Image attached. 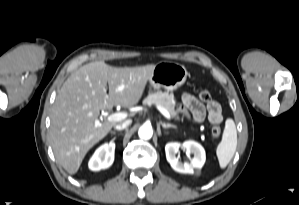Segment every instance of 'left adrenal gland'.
I'll return each instance as SVG.
<instances>
[{
    "label": "left adrenal gland",
    "mask_w": 299,
    "mask_h": 205,
    "mask_svg": "<svg viewBox=\"0 0 299 205\" xmlns=\"http://www.w3.org/2000/svg\"><path fill=\"white\" fill-rule=\"evenodd\" d=\"M161 125L163 128L167 129V128H177L176 125H173V124H170V123H164V122H161Z\"/></svg>",
    "instance_id": "1"
}]
</instances>
